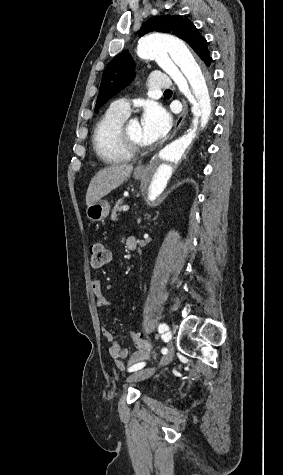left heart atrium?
<instances>
[{
	"label": "left heart atrium",
	"mask_w": 283,
	"mask_h": 475,
	"mask_svg": "<svg viewBox=\"0 0 283 475\" xmlns=\"http://www.w3.org/2000/svg\"><path fill=\"white\" fill-rule=\"evenodd\" d=\"M172 120L169 113L159 104H148L141 117L143 137L148 142L163 139L171 128Z\"/></svg>",
	"instance_id": "left-heart-atrium-1"
}]
</instances>
